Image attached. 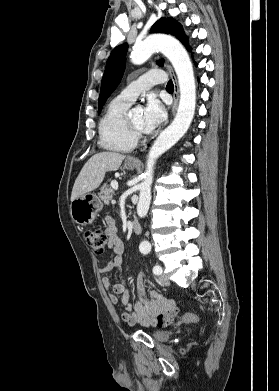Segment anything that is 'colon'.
Listing matches in <instances>:
<instances>
[{
  "label": "colon",
  "mask_w": 279,
  "mask_h": 391,
  "mask_svg": "<svg viewBox=\"0 0 279 391\" xmlns=\"http://www.w3.org/2000/svg\"><path fill=\"white\" fill-rule=\"evenodd\" d=\"M84 238L86 243L92 248L95 253H104L108 241L105 231L101 229H90L85 232ZM181 320L185 322L195 323L198 322L199 318L193 313H186L181 316Z\"/></svg>",
  "instance_id": "5ec220e1"
}]
</instances>
